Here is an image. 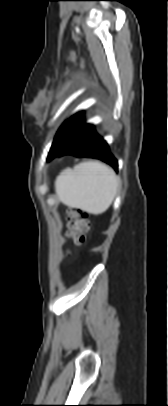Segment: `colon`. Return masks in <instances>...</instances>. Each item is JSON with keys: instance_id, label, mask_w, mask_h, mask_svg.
Listing matches in <instances>:
<instances>
[{"instance_id": "obj_1", "label": "colon", "mask_w": 168, "mask_h": 406, "mask_svg": "<svg viewBox=\"0 0 168 406\" xmlns=\"http://www.w3.org/2000/svg\"><path fill=\"white\" fill-rule=\"evenodd\" d=\"M71 221L69 224V236L76 244L85 242L88 233L91 230L89 220L80 212L73 210L70 212Z\"/></svg>"}]
</instances>
